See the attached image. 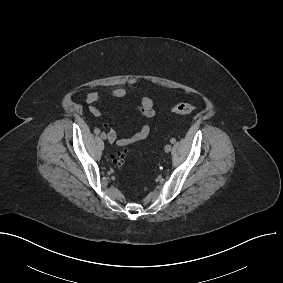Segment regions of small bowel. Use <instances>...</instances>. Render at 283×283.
Wrapping results in <instances>:
<instances>
[{
    "label": "small bowel",
    "instance_id": "small-bowel-1",
    "mask_svg": "<svg viewBox=\"0 0 283 283\" xmlns=\"http://www.w3.org/2000/svg\"><path fill=\"white\" fill-rule=\"evenodd\" d=\"M111 98L120 99L125 97L126 90L122 87H110L106 90ZM103 98V92L95 90L91 91L86 96V102L90 105V112L93 116L99 117L101 115V111L98 107V103ZM137 110L145 117L152 118L155 116V108L154 102L150 97H143L140 100V104L137 107ZM105 128H108L107 124H103ZM150 126L147 124H143L139 130L131 136L117 138V134L113 129L108 130V140L110 143H115L118 146L125 147L142 140H145L150 134Z\"/></svg>",
    "mask_w": 283,
    "mask_h": 283
}]
</instances>
